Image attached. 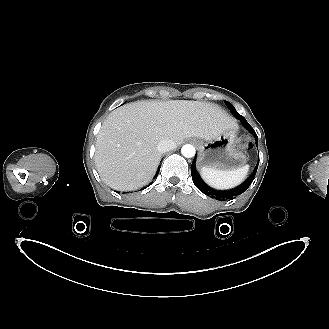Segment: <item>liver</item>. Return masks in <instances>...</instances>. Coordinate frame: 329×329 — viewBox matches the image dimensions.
Wrapping results in <instances>:
<instances>
[{"mask_svg": "<svg viewBox=\"0 0 329 329\" xmlns=\"http://www.w3.org/2000/svg\"><path fill=\"white\" fill-rule=\"evenodd\" d=\"M235 119L210 102L138 101L124 105L104 121L96 141L95 164L104 183L135 190L154 176L161 159L157 146L171 139L206 141L236 127Z\"/></svg>", "mask_w": 329, "mask_h": 329, "instance_id": "6515ba94", "label": "liver"}]
</instances>
